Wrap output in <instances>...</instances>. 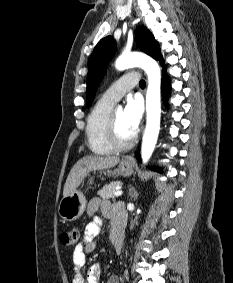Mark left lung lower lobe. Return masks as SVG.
Instances as JSON below:
<instances>
[{
	"mask_svg": "<svg viewBox=\"0 0 233 283\" xmlns=\"http://www.w3.org/2000/svg\"><path fill=\"white\" fill-rule=\"evenodd\" d=\"M160 61L162 67H163V72H162V91H163V98L165 101H167V98H168V95H169V89H170V82H169V79L166 75V69H165V63H164V60L162 58V56L157 59ZM136 158L140 161L141 158H140V155L139 154H136ZM152 170H155V171H158L160 172L159 169L157 168H151Z\"/></svg>",
	"mask_w": 233,
	"mask_h": 283,
	"instance_id": "0a47b994",
	"label": "left lung lower lobe"
}]
</instances>
